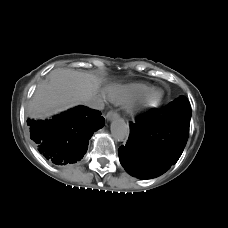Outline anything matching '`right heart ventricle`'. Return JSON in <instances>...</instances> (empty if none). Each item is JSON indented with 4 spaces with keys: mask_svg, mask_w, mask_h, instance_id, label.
<instances>
[{
    "mask_svg": "<svg viewBox=\"0 0 228 228\" xmlns=\"http://www.w3.org/2000/svg\"><path fill=\"white\" fill-rule=\"evenodd\" d=\"M150 89L144 83L115 85L108 90V98L115 104H128Z\"/></svg>",
    "mask_w": 228,
    "mask_h": 228,
    "instance_id": "obj_1",
    "label": "right heart ventricle"
}]
</instances>
